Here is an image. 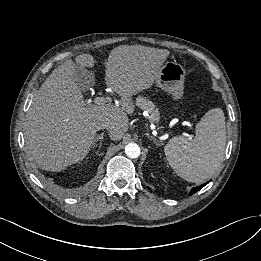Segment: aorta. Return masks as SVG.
Listing matches in <instances>:
<instances>
[{"label":"aorta","instance_id":"aorta-1","mask_svg":"<svg viewBox=\"0 0 261 261\" xmlns=\"http://www.w3.org/2000/svg\"><path fill=\"white\" fill-rule=\"evenodd\" d=\"M140 153V147L136 143H129L125 146V154L129 158H138Z\"/></svg>","mask_w":261,"mask_h":261}]
</instances>
